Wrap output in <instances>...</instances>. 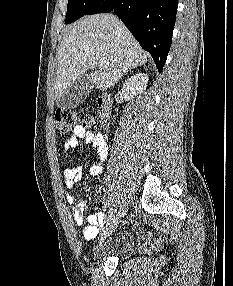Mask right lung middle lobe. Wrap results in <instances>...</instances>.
Listing matches in <instances>:
<instances>
[{
    "instance_id": "right-lung-middle-lobe-1",
    "label": "right lung middle lobe",
    "mask_w": 233,
    "mask_h": 286,
    "mask_svg": "<svg viewBox=\"0 0 233 286\" xmlns=\"http://www.w3.org/2000/svg\"><path fill=\"white\" fill-rule=\"evenodd\" d=\"M99 0H68L67 17L65 23H72L93 8Z\"/></svg>"
}]
</instances>
